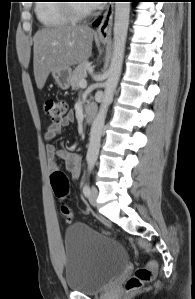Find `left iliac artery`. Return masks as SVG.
<instances>
[{"mask_svg":"<svg viewBox=\"0 0 195 299\" xmlns=\"http://www.w3.org/2000/svg\"><path fill=\"white\" fill-rule=\"evenodd\" d=\"M94 165H95V162L94 161H89L88 162V175L91 173V171L93 170L94 168ZM83 193L84 195L87 197L89 196L90 194V187L87 183L84 184V187H83Z\"/></svg>","mask_w":195,"mask_h":299,"instance_id":"44dca946","label":"left iliac artery"}]
</instances>
